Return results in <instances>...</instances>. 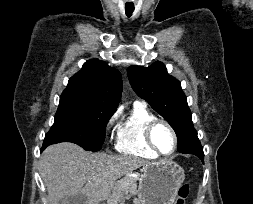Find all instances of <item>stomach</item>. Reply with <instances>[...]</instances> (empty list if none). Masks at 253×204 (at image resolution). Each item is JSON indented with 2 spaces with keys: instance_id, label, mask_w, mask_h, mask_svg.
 <instances>
[{
  "instance_id": "1",
  "label": "stomach",
  "mask_w": 253,
  "mask_h": 204,
  "mask_svg": "<svg viewBox=\"0 0 253 204\" xmlns=\"http://www.w3.org/2000/svg\"><path fill=\"white\" fill-rule=\"evenodd\" d=\"M184 180V170L173 161L161 160L145 165L137 188L139 203L174 204Z\"/></svg>"
}]
</instances>
